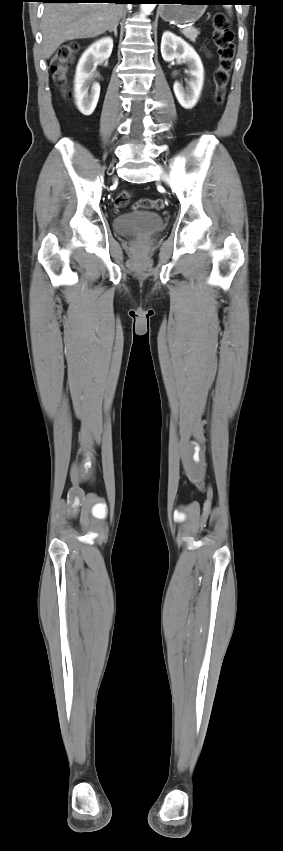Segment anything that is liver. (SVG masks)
I'll return each instance as SVG.
<instances>
[{
    "label": "liver",
    "mask_w": 283,
    "mask_h": 851,
    "mask_svg": "<svg viewBox=\"0 0 283 851\" xmlns=\"http://www.w3.org/2000/svg\"><path fill=\"white\" fill-rule=\"evenodd\" d=\"M123 15L115 3H48L42 17L43 54L49 59L66 41L93 38L112 29Z\"/></svg>",
    "instance_id": "1"
}]
</instances>
